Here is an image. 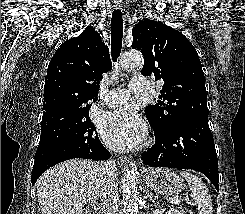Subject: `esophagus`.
<instances>
[{
	"instance_id": "34e87169",
	"label": "esophagus",
	"mask_w": 245,
	"mask_h": 214,
	"mask_svg": "<svg viewBox=\"0 0 245 214\" xmlns=\"http://www.w3.org/2000/svg\"><path fill=\"white\" fill-rule=\"evenodd\" d=\"M114 7H115L116 9H120V8H121V5H120V4H115ZM119 161H120L121 163L129 162V161H130V158L127 157V156H121V157L119 158Z\"/></svg>"
}]
</instances>
